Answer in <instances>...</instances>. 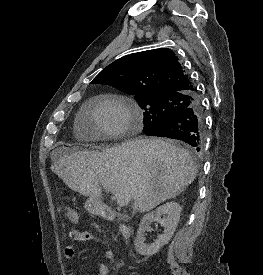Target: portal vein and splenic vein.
Wrapping results in <instances>:
<instances>
[{"label": "portal vein and splenic vein", "instance_id": "portal-vein-and-splenic-vein-1", "mask_svg": "<svg viewBox=\"0 0 263 275\" xmlns=\"http://www.w3.org/2000/svg\"><path fill=\"white\" fill-rule=\"evenodd\" d=\"M101 185L107 192L112 193V195H113L112 198L117 201V204L119 205V207L126 206L129 203V201L131 200L129 196H125L119 192H116L111 187H109L107 184L101 183Z\"/></svg>", "mask_w": 263, "mask_h": 275}]
</instances>
